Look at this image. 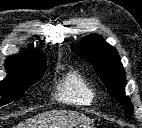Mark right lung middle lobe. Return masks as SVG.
<instances>
[{"label":"right lung middle lobe","instance_id":"1","mask_svg":"<svg viewBox=\"0 0 142 128\" xmlns=\"http://www.w3.org/2000/svg\"><path fill=\"white\" fill-rule=\"evenodd\" d=\"M45 70L46 62H42L28 68L18 77L4 79L0 84V94L3 98L0 105L20 99L31 85L42 78Z\"/></svg>","mask_w":142,"mask_h":128}]
</instances>
